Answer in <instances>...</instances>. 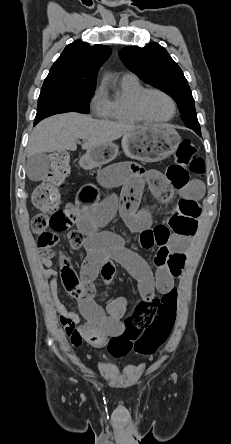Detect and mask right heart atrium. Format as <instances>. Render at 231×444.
<instances>
[{"instance_id": "1", "label": "right heart atrium", "mask_w": 231, "mask_h": 444, "mask_svg": "<svg viewBox=\"0 0 231 444\" xmlns=\"http://www.w3.org/2000/svg\"><path fill=\"white\" fill-rule=\"evenodd\" d=\"M109 106V99L106 95L104 86L100 85L94 91L91 100L90 107L94 115L98 117H104Z\"/></svg>"}]
</instances>
